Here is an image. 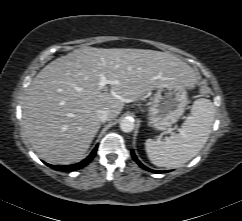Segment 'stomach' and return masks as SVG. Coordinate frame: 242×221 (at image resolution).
Masks as SVG:
<instances>
[{"mask_svg": "<svg viewBox=\"0 0 242 221\" xmlns=\"http://www.w3.org/2000/svg\"><path fill=\"white\" fill-rule=\"evenodd\" d=\"M188 104L186 87L177 82H163L156 87L148 110L150 125L160 131L168 129L184 113Z\"/></svg>", "mask_w": 242, "mask_h": 221, "instance_id": "obj_1", "label": "stomach"}]
</instances>
